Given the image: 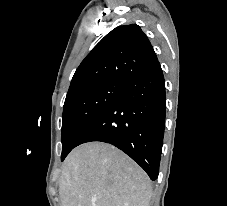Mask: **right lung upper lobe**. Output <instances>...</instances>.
I'll return each instance as SVG.
<instances>
[{
	"label": "right lung upper lobe",
	"mask_w": 227,
	"mask_h": 206,
	"mask_svg": "<svg viewBox=\"0 0 227 206\" xmlns=\"http://www.w3.org/2000/svg\"><path fill=\"white\" fill-rule=\"evenodd\" d=\"M158 63L153 47L136 24L118 26L84 58L71 80L67 96L107 81H127Z\"/></svg>",
	"instance_id": "right-lung-upper-lobe-1"
}]
</instances>
